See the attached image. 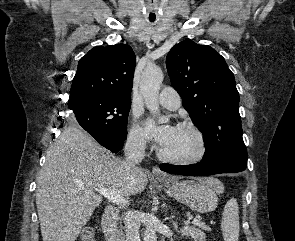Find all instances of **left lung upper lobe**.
<instances>
[{
  "label": "left lung upper lobe",
  "instance_id": "5c2ea615",
  "mask_svg": "<svg viewBox=\"0 0 295 241\" xmlns=\"http://www.w3.org/2000/svg\"><path fill=\"white\" fill-rule=\"evenodd\" d=\"M166 67L184 108L203 133V160L226 159L247 164L239 93L224 58L210 46L184 40L169 51Z\"/></svg>",
  "mask_w": 295,
  "mask_h": 241
}]
</instances>
